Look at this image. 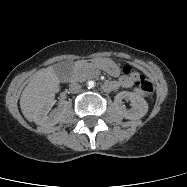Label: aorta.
<instances>
[{"label": "aorta", "instance_id": "1", "mask_svg": "<svg viewBox=\"0 0 187 187\" xmlns=\"http://www.w3.org/2000/svg\"><path fill=\"white\" fill-rule=\"evenodd\" d=\"M88 87H89V88L95 87V83H94L93 81H89Z\"/></svg>", "mask_w": 187, "mask_h": 187}]
</instances>
